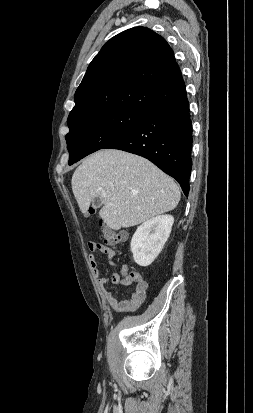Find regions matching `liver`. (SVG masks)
Returning <instances> with one entry per match:
<instances>
[{
  "instance_id": "1",
  "label": "liver",
  "mask_w": 253,
  "mask_h": 413,
  "mask_svg": "<svg viewBox=\"0 0 253 413\" xmlns=\"http://www.w3.org/2000/svg\"><path fill=\"white\" fill-rule=\"evenodd\" d=\"M72 191L82 213L95 198L99 215L113 230L128 228L173 210L179 203L176 182L149 160L105 149L87 157L72 176Z\"/></svg>"
}]
</instances>
